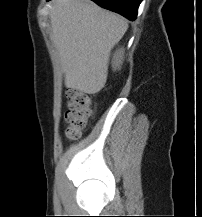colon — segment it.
Here are the masks:
<instances>
[{
	"label": "colon",
	"mask_w": 202,
	"mask_h": 217,
	"mask_svg": "<svg viewBox=\"0 0 202 217\" xmlns=\"http://www.w3.org/2000/svg\"><path fill=\"white\" fill-rule=\"evenodd\" d=\"M67 99L65 135L67 139L75 140L81 136L92 119L93 100L90 95L77 90H68Z\"/></svg>",
	"instance_id": "colon-1"
}]
</instances>
